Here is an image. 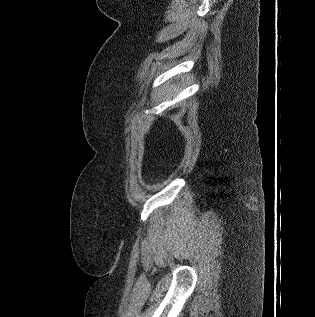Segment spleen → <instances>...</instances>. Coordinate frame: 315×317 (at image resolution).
<instances>
[{
	"instance_id": "3e777b00",
	"label": "spleen",
	"mask_w": 315,
	"mask_h": 317,
	"mask_svg": "<svg viewBox=\"0 0 315 317\" xmlns=\"http://www.w3.org/2000/svg\"><path fill=\"white\" fill-rule=\"evenodd\" d=\"M175 91H176V88L173 87V85H170L169 82H167L161 89V92H160L161 99L164 100L167 97H170L171 95L175 94Z\"/></svg>"
}]
</instances>
